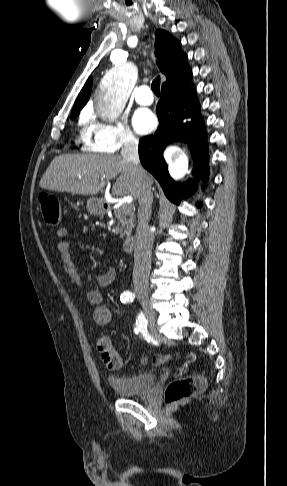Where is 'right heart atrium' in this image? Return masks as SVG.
Segmentation results:
<instances>
[{"instance_id":"obj_1","label":"right heart atrium","mask_w":287,"mask_h":486,"mask_svg":"<svg viewBox=\"0 0 287 486\" xmlns=\"http://www.w3.org/2000/svg\"><path fill=\"white\" fill-rule=\"evenodd\" d=\"M86 126L84 148L90 152L116 153L121 149L135 148L138 139L128 124L117 119L112 122L100 121L93 111L83 115Z\"/></svg>"}]
</instances>
